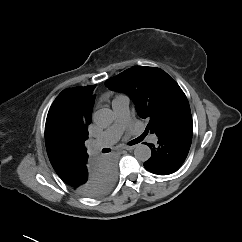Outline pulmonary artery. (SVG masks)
<instances>
[{
	"instance_id": "pulmonary-artery-1",
	"label": "pulmonary artery",
	"mask_w": 242,
	"mask_h": 242,
	"mask_svg": "<svg viewBox=\"0 0 242 242\" xmlns=\"http://www.w3.org/2000/svg\"><path fill=\"white\" fill-rule=\"evenodd\" d=\"M113 109L115 111L116 120L115 123L102 133L97 139L96 145L98 147L114 144L122 135V132L128 121V99L125 96H118L113 101ZM152 142L157 141L155 135L151 136Z\"/></svg>"
}]
</instances>
